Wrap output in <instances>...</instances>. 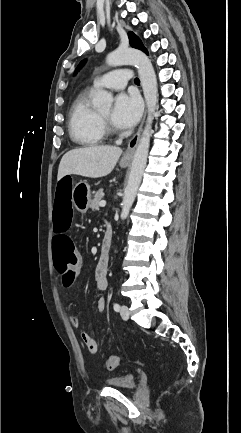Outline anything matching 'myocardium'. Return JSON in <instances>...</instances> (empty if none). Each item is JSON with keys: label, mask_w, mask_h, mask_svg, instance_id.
Here are the masks:
<instances>
[{"label": "myocardium", "mask_w": 241, "mask_h": 433, "mask_svg": "<svg viewBox=\"0 0 241 433\" xmlns=\"http://www.w3.org/2000/svg\"><path fill=\"white\" fill-rule=\"evenodd\" d=\"M98 116H99V120H100L101 126H102L105 134L106 133H113L114 129H113L112 125L110 124L109 120L106 119L105 117H103L101 114H98Z\"/></svg>", "instance_id": "1"}]
</instances>
